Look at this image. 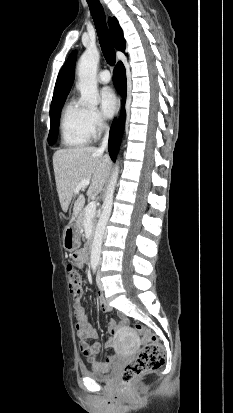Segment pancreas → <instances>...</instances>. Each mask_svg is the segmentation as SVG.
Returning a JSON list of instances; mask_svg holds the SVG:
<instances>
[{
    "instance_id": "obj_1",
    "label": "pancreas",
    "mask_w": 233,
    "mask_h": 413,
    "mask_svg": "<svg viewBox=\"0 0 233 413\" xmlns=\"http://www.w3.org/2000/svg\"><path fill=\"white\" fill-rule=\"evenodd\" d=\"M85 213H86V208H84L83 210H81L78 218H77V226L79 227V229H84V221H85ZM96 216L92 217V231L95 230V226H96ZM91 240V237L89 238L88 242Z\"/></svg>"
}]
</instances>
